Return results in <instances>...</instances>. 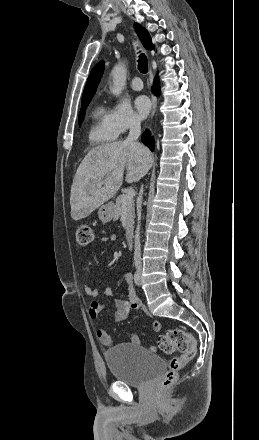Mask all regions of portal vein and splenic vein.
Here are the masks:
<instances>
[{"label":"portal vein and splenic vein","instance_id":"obj_1","mask_svg":"<svg viewBox=\"0 0 259 440\" xmlns=\"http://www.w3.org/2000/svg\"><path fill=\"white\" fill-rule=\"evenodd\" d=\"M101 186H102V184H98V187H101ZM134 196H135V191L133 189L128 190L126 195L123 198V203L127 204V203L131 202L133 200Z\"/></svg>","mask_w":259,"mask_h":440}]
</instances>
